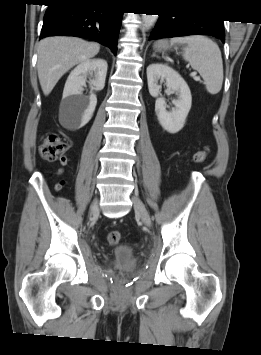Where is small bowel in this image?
I'll use <instances>...</instances> for the list:
<instances>
[{
  "instance_id": "small-bowel-1",
  "label": "small bowel",
  "mask_w": 261,
  "mask_h": 355,
  "mask_svg": "<svg viewBox=\"0 0 261 355\" xmlns=\"http://www.w3.org/2000/svg\"><path fill=\"white\" fill-rule=\"evenodd\" d=\"M61 163H62L63 165H65V164L67 163V157H63V158L61 159ZM63 173H64V169H63V168H60V169L57 170L56 175H62Z\"/></svg>"
}]
</instances>
